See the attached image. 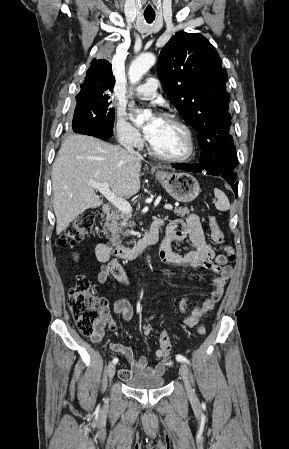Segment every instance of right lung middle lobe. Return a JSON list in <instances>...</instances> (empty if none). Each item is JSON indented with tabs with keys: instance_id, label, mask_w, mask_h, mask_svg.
<instances>
[{
	"instance_id": "obj_1",
	"label": "right lung middle lobe",
	"mask_w": 289,
	"mask_h": 449,
	"mask_svg": "<svg viewBox=\"0 0 289 449\" xmlns=\"http://www.w3.org/2000/svg\"><path fill=\"white\" fill-rule=\"evenodd\" d=\"M108 99L109 96L104 91L93 94H78L72 121L73 131L76 133L82 126L86 125L98 131L112 134L115 112L110 107Z\"/></svg>"
}]
</instances>
